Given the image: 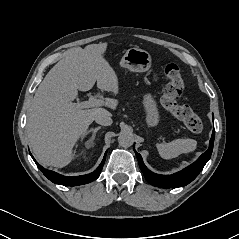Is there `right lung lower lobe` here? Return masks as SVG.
I'll return each instance as SVG.
<instances>
[{"label": "right lung lower lobe", "instance_id": "98d812e1", "mask_svg": "<svg viewBox=\"0 0 239 239\" xmlns=\"http://www.w3.org/2000/svg\"><path fill=\"white\" fill-rule=\"evenodd\" d=\"M30 155H31V153H30ZM31 157L35 161L38 168L43 172V174L53 183L65 185V186H77V185L87 184V183L95 180L99 176V174L102 170V167L104 165V162H105L106 154H105L101 164L94 172H92L90 174L82 175V176H71V177L63 176L56 172L47 170V169L43 168L41 165H39L32 155H31Z\"/></svg>", "mask_w": 239, "mask_h": 239}]
</instances>
